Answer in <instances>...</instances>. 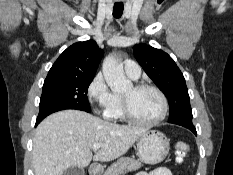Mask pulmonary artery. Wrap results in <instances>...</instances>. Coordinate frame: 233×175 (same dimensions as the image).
Returning <instances> with one entry per match:
<instances>
[{
  "label": "pulmonary artery",
  "instance_id": "obj_1",
  "mask_svg": "<svg viewBox=\"0 0 233 175\" xmlns=\"http://www.w3.org/2000/svg\"><path fill=\"white\" fill-rule=\"evenodd\" d=\"M124 70L126 75L133 80H136L140 77V66L137 62L133 60L124 61Z\"/></svg>",
  "mask_w": 233,
  "mask_h": 175
}]
</instances>
